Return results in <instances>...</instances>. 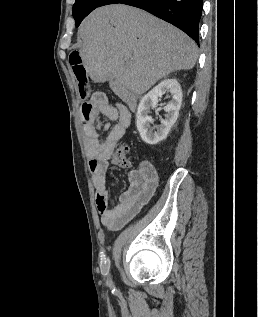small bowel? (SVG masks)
I'll return each mask as SVG.
<instances>
[{"label": "small bowel", "instance_id": "small-bowel-1", "mask_svg": "<svg viewBox=\"0 0 258 317\" xmlns=\"http://www.w3.org/2000/svg\"><path fill=\"white\" fill-rule=\"evenodd\" d=\"M79 115L81 123L87 115L93 121L104 116L115 122L103 141L100 142L96 134L92 139L85 138L84 144L101 222L111 230H119L132 220L154 195L158 185L157 171L151 162L141 161L136 169L127 174V190L114 204H109L106 178L110 159L116 144L131 124V113L125 105H111L104 93L95 92L90 101L80 105Z\"/></svg>", "mask_w": 258, "mask_h": 317}]
</instances>
